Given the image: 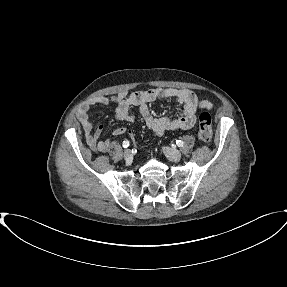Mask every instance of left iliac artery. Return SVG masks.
<instances>
[{
  "label": "left iliac artery",
  "mask_w": 287,
  "mask_h": 287,
  "mask_svg": "<svg viewBox=\"0 0 287 287\" xmlns=\"http://www.w3.org/2000/svg\"><path fill=\"white\" fill-rule=\"evenodd\" d=\"M175 144L177 145V146H179V147H182L183 146V141H181V140H176L175 141Z\"/></svg>",
  "instance_id": "1"
}]
</instances>
